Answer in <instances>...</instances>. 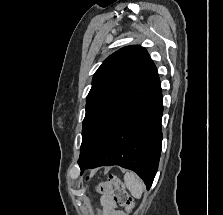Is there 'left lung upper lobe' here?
Here are the masks:
<instances>
[{"label":"left lung upper lobe","mask_w":223,"mask_h":215,"mask_svg":"<svg viewBox=\"0 0 223 215\" xmlns=\"http://www.w3.org/2000/svg\"><path fill=\"white\" fill-rule=\"evenodd\" d=\"M157 77L152 59L139 45L121 48L102 63L86 99L80 167L92 159L111 129Z\"/></svg>","instance_id":"1"}]
</instances>
